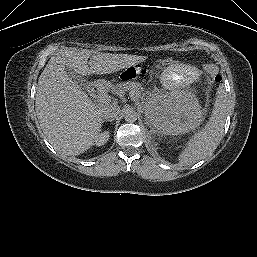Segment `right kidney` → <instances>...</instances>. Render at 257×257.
Listing matches in <instances>:
<instances>
[{
    "instance_id": "obj_1",
    "label": "right kidney",
    "mask_w": 257,
    "mask_h": 257,
    "mask_svg": "<svg viewBox=\"0 0 257 257\" xmlns=\"http://www.w3.org/2000/svg\"><path fill=\"white\" fill-rule=\"evenodd\" d=\"M109 137H110L109 131H105V132L101 133L96 142V145L97 146L104 145L108 141Z\"/></svg>"
}]
</instances>
